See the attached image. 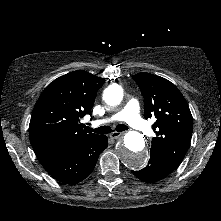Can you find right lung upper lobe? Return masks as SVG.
Masks as SVG:
<instances>
[{
    "label": "right lung upper lobe",
    "mask_w": 221,
    "mask_h": 221,
    "mask_svg": "<svg viewBox=\"0 0 221 221\" xmlns=\"http://www.w3.org/2000/svg\"><path fill=\"white\" fill-rule=\"evenodd\" d=\"M105 79L77 70L51 82L32 112L29 137L35 153L74 146L99 135L87 133L80 118L91 114L97 91Z\"/></svg>",
    "instance_id": "obj_1"
}]
</instances>
